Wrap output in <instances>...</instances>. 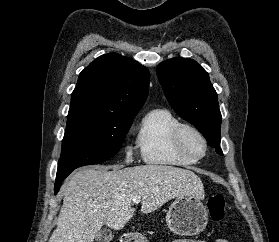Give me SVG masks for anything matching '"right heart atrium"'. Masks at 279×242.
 I'll return each mask as SVG.
<instances>
[{
  "label": "right heart atrium",
  "instance_id": "obj_1",
  "mask_svg": "<svg viewBox=\"0 0 279 242\" xmlns=\"http://www.w3.org/2000/svg\"><path fill=\"white\" fill-rule=\"evenodd\" d=\"M132 160V157H131V154L130 153H127L126 154V161H131Z\"/></svg>",
  "mask_w": 279,
  "mask_h": 242
}]
</instances>
